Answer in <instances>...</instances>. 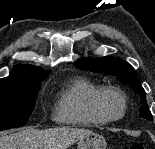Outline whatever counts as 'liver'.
<instances>
[{"instance_id": "obj_1", "label": "liver", "mask_w": 155, "mask_h": 149, "mask_svg": "<svg viewBox=\"0 0 155 149\" xmlns=\"http://www.w3.org/2000/svg\"><path fill=\"white\" fill-rule=\"evenodd\" d=\"M92 133L87 129L58 127L47 130L33 128L0 137V149H67Z\"/></svg>"}]
</instances>
